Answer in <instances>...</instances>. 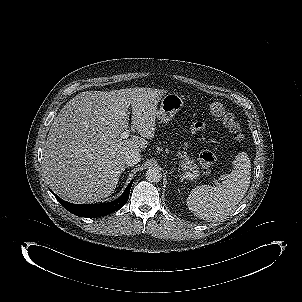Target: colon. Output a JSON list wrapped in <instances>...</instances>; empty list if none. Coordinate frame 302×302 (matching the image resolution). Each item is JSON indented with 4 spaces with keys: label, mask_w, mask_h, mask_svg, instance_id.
<instances>
[{
    "label": "colon",
    "mask_w": 302,
    "mask_h": 302,
    "mask_svg": "<svg viewBox=\"0 0 302 302\" xmlns=\"http://www.w3.org/2000/svg\"><path fill=\"white\" fill-rule=\"evenodd\" d=\"M210 113L220 119L222 123L233 132L238 140L243 138V131L239 122L235 119L234 115L228 112L223 103L214 101L209 105ZM200 165L203 174L210 173V169L216 161V153L212 150H205L200 154Z\"/></svg>",
    "instance_id": "colon-1"
}]
</instances>
